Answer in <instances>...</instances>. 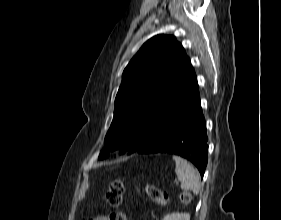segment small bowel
<instances>
[{
	"mask_svg": "<svg viewBox=\"0 0 281 220\" xmlns=\"http://www.w3.org/2000/svg\"><path fill=\"white\" fill-rule=\"evenodd\" d=\"M93 220H108L107 216H98L96 218H94Z\"/></svg>",
	"mask_w": 281,
	"mask_h": 220,
	"instance_id": "small-bowel-1",
	"label": "small bowel"
}]
</instances>
